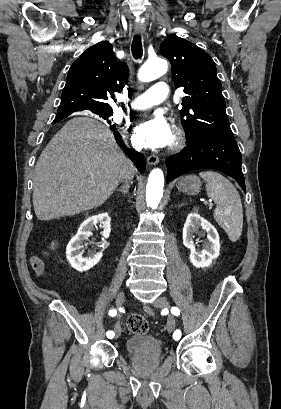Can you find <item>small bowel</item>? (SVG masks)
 <instances>
[{
    "mask_svg": "<svg viewBox=\"0 0 281 409\" xmlns=\"http://www.w3.org/2000/svg\"><path fill=\"white\" fill-rule=\"evenodd\" d=\"M32 266L36 275H41L44 271V262L39 258H32Z\"/></svg>",
    "mask_w": 281,
    "mask_h": 409,
    "instance_id": "small-bowel-1",
    "label": "small bowel"
}]
</instances>
